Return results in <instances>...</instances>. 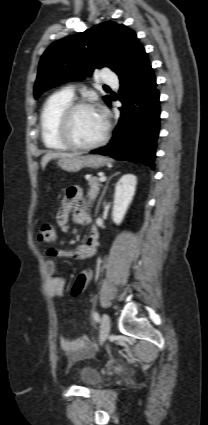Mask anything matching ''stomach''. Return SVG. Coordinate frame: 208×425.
I'll use <instances>...</instances> for the list:
<instances>
[{"mask_svg":"<svg viewBox=\"0 0 208 425\" xmlns=\"http://www.w3.org/2000/svg\"><path fill=\"white\" fill-rule=\"evenodd\" d=\"M110 162L109 159L98 156V155H85V156H75V157H67L61 158L58 161V165L61 169L75 173L80 171L81 169L88 168H100Z\"/></svg>","mask_w":208,"mask_h":425,"instance_id":"1","label":"stomach"}]
</instances>
